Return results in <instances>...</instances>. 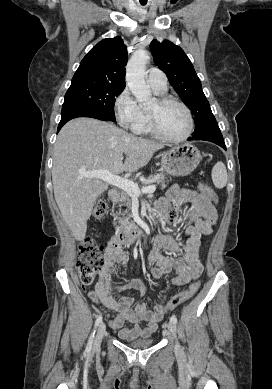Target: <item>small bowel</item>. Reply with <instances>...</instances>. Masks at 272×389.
Here are the masks:
<instances>
[{
    "label": "small bowel",
    "mask_w": 272,
    "mask_h": 389,
    "mask_svg": "<svg viewBox=\"0 0 272 389\" xmlns=\"http://www.w3.org/2000/svg\"><path fill=\"white\" fill-rule=\"evenodd\" d=\"M184 204L188 206L180 210L179 207ZM156 209L172 227L181 219L186 221L184 230L186 240L181 246L172 236L157 237L149 255L152 276L154 279H160L174 272V276L170 278L171 283L185 286L203 272V264L199 257L201 238L213 232L217 220L216 210L206 195L179 185H172L169 188L166 196L156 203ZM161 249L172 252L177 255V258L166 257L161 253ZM127 261V252L121 244L112 239L105 250L104 265L95 286L88 291V296L93 302L115 313L109 315V326L113 330H118L120 338L125 340L148 338L155 332L164 315L171 310L162 304L166 294L161 295L152 309L145 303H136L130 297L116 294L121 289L145 292V284L140 280H131L120 285L113 284L112 273L117 265L125 264ZM141 323L145 325L141 326Z\"/></svg>",
    "instance_id": "small-bowel-1"
}]
</instances>
